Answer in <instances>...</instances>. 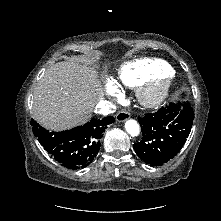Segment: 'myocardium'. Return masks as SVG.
<instances>
[{"label":"myocardium","instance_id":"myocardium-1","mask_svg":"<svg viewBox=\"0 0 221 221\" xmlns=\"http://www.w3.org/2000/svg\"><path fill=\"white\" fill-rule=\"evenodd\" d=\"M173 81L174 78L170 73L150 79L139 88L137 94L139 101L150 108L160 105L168 96Z\"/></svg>","mask_w":221,"mask_h":221}]
</instances>
